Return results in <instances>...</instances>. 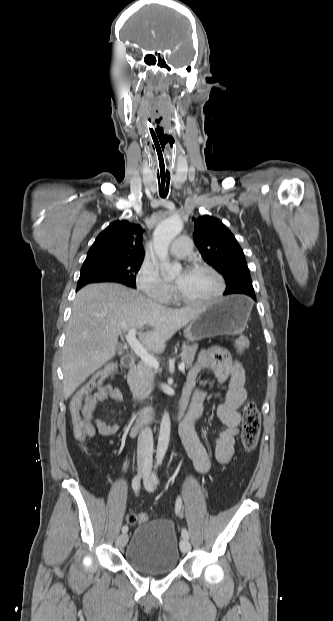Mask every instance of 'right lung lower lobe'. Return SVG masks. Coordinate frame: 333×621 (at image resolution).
Segmentation results:
<instances>
[{
  "label": "right lung lower lobe",
  "mask_w": 333,
  "mask_h": 621,
  "mask_svg": "<svg viewBox=\"0 0 333 621\" xmlns=\"http://www.w3.org/2000/svg\"><path fill=\"white\" fill-rule=\"evenodd\" d=\"M82 286H77V290H79Z\"/></svg>",
  "instance_id": "obj_1"
}]
</instances>
